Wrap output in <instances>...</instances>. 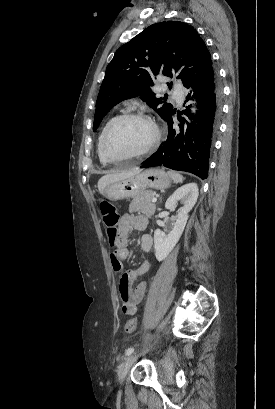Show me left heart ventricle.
<instances>
[{
  "mask_svg": "<svg viewBox=\"0 0 275 409\" xmlns=\"http://www.w3.org/2000/svg\"><path fill=\"white\" fill-rule=\"evenodd\" d=\"M149 128L141 121L125 120L116 125L105 144L107 157H122L142 147L149 137Z\"/></svg>",
  "mask_w": 275,
  "mask_h": 409,
  "instance_id": "left-heart-ventricle-1",
  "label": "left heart ventricle"
}]
</instances>
